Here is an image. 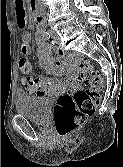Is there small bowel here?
<instances>
[{"mask_svg":"<svg viewBox=\"0 0 123 167\" xmlns=\"http://www.w3.org/2000/svg\"><path fill=\"white\" fill-rule=\"evenodd\" d=\"M16 5L15 14H17L18 24L20 27H24L27 24L26 1L14 0ZM37 29L39 30V24L36 22ZM21 53L24 56L32 54L33 48L31 45V33L24 31L22 34ZM56 55H50V47L42 42L37 43V57L38 63L48 74H54L51 76L42 77H23L21 79V90L27 95L33 96H45L52 98L65 92L70 84L69 81L60 78L63 71L62 59L64 53L60 49H55Z\"/></svg>","mask_w":123,"mask_h":167,"instance_id":"obj_1","label":"small bowel"}]
</instances>
